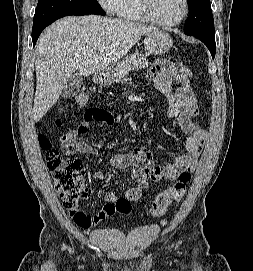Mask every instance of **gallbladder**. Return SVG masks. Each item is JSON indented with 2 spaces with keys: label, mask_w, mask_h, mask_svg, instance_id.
<instances>
[{
  "label": "gallbladder",
  "mask_w": 253,
  "mask_h": 271,
  "mask_svg": "<svg viewBox=\"0 0 253 271\" xmlns=\"http://www.w3.org/2000/svg\"><path fill=\"white\" fill-rule=\"evenodd\" d=\"M81 85H82V78L80 75L75 73L73 76H71L67 80L62 90L61 96L63 98H70V97L75 96L80 91Z\"/></svg>",
  "instance_id": "obj_1"
}]
</instances>
